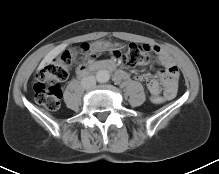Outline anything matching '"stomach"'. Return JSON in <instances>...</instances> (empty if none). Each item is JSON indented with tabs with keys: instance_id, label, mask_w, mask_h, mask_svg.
<instances>
[{
	"instance_id": "0dacf381",
	"label": "stomach",
	"mask_w": 219,
	"mask_h": 174,
	"mask_svg": "<svg viewBox=\"0 0 219 174\" xmlns=\"http://www.w3.org/2000/svg\"><path fill=\"white\" fill-rule=\"evenodd\" d=\"M96 45L99 46L101 45V43H97ZM106 45L109 46V43H106Z\"/></svg>"
}]
</instances>
